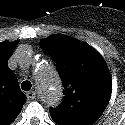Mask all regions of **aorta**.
<instances>
[{"label":"aorta","instance_id":"762f6f07","mask_svg":"<svg viewBox=\"0 0 125 125\" xmlns=\"http://www.w3.org/2000/svg\"><path fill=\"white\" fill-rule=\"evenodd\" d=\"M38 94L43 103L57 106L63 97V87L59 75L52 64L42 65L35 73Z\"/></svg>","mask_w":125,"mask_h":125}]
</instances>
